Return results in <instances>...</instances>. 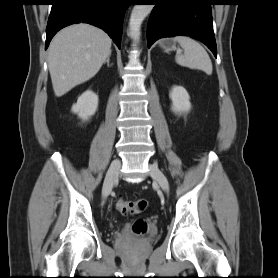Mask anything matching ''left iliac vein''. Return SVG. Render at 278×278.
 <instances>
[{
    "label": "left iliac vein",
    "instance_id": "left-iliac-vein-1",
    "mask_svg": "<svg viewBox=\"0 0 278 278\" xmlns=\"http://www.w3.org/2000/svg\"><path fill=\"white\" fill-rule=\"evenodd\" d=\"M150 176L158 182L160 187L166 192H169V183L163 172L155 165H149Z\"/></svg>",
    "mask_w": 278,
    "mask_h": 278
}]
</instances>
